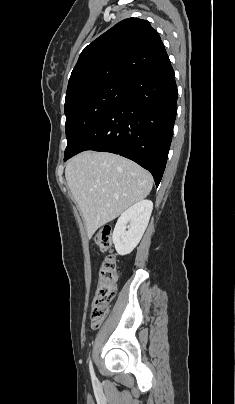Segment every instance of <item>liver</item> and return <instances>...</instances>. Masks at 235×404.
<instances>
[{
    "label": "liver",
    "instance_id": "obj_1",
    "mask_svg": "<svg viewBox=\"0 0 235 404\" xmlns=\"http://www.w3.org/2000/svg\"><path fill=\"white\" fill-rule=\"evenodd\" d=\"M65 177L89 238L151 191V174L120 155L86 151L71 159Z\"/></svg>",
    "mask_w": 235,
    "mask_h": 404
}]
</instances>
